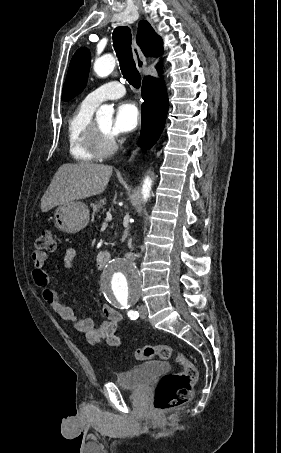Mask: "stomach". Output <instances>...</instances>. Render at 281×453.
I'll use <instances>...</instances> for the list:
<instances>
[{
    "instance_id": "1",
    "label": "stomach",
    "mask_w": 281,
    "mask_h": 453,
    "mask_svg": "<svg viewBox=\"0 0 281 453\" xmlns=\"http://www.w3.org/2000/svg\"><path fill=\"white\" fill-rule=\"evenodd\" d=\"M54 224L62 233H79L87 227L89 222V208L80 202V200H72L59 204L54 212Z\"/></svg>"
}]
</instances>
